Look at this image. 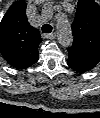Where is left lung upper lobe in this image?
I'll return each mask as SVG.
<instances>
[{"instance_id": "5c2ea615", "label": "left lung upper lobe", "mask_w": 100, "mask_h": 118, "mask_svg": "<svg viewBox=\"0 0 100 118\" xmlns=\"http://www.w3.org/2000/svg\"><path fill=\"white\" fill-rule=\"evenodd\" d=\"M72 30L74 41L67 63L84 73L100 61V6L94 0H79Z\"/></svg>"}]
</instances>
